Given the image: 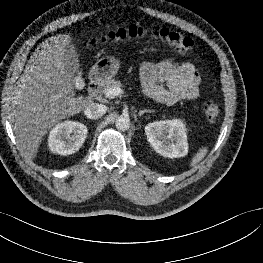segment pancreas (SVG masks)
Returning <instances> with one entry per match:
<instances>
[{
  "instance_id": "pancreas-1",
  "label": "pancreas",
  "mask_w": 263,
  "mask_h": 263,
  "mask_svg": "<svg viewBox=\"0 0 263 263\" xmlns=\"http://www.w3.org/2000/svg\"><path fill=\"white\" fill-rule=\"evenodd\" d=\"M113 87H122V84H121V82L120 81H117V80H115V79H108V80H106L104 83H103V85H102V87H101V89H100V94H102V95H106V92H107V90L109 89V88H113Z\"/></svg>"
}]
</instances>
